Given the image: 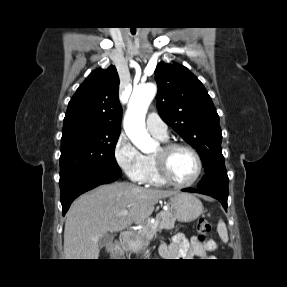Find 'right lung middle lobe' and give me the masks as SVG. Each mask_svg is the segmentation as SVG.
<instances>
[{"label":"right lung middle lobe","mask_w":287,"mask_h":287,"mask_svg":"<svg viewBox=\"0 0 287 287\" xmlns=\"http://www.w3.org/2000/svg\"><path fill=\"white\" fill-rule=\"evenodd\" d=\"M120 131L97 130L77 125L63 130L61 138L60 179L80 172L122 176L114 150Z\"/></svg>","instance_id":"right-lung-middle-lobe-1"}]
</instances>
